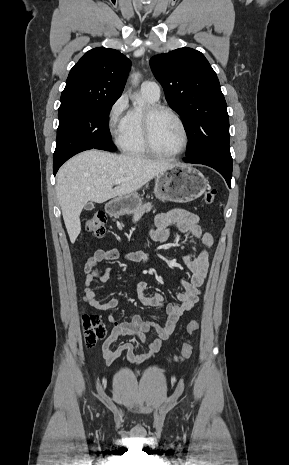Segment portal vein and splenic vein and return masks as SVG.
Masks as SVG:
<instances>
[{"label": "portal vein and splenic vein", "instance_id": "portal-vein-and-splenic-vein-1", "mask_svg": "<svg viewBox=\"0 0 289 465\" xmlns=\"http://www.w3.org/2000/svg\"><path fill=\"white\" fill-rule=\"evenodd\" d=\"M122 182H123V180L118 179V180H116V181L114 182V184H115V185H119V184H121Z\"/></svg>", "mask_w": 289, "mask_h": 465}]
</instances>
